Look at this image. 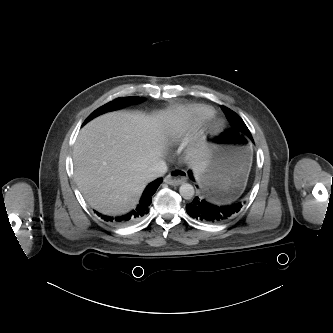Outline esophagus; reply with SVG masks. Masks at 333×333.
<instances>
[{
  "label": "esophagus",
  "mask_w": 333,
  "mask_h": 333,
  "mask_svg": "<svg viewBox=\"0 0 333 333\" xmlns=\"http://www.w3.org/2000/svg\"><path fill=\"white\" fill-rule=\"evenodd\" d=\"M186 172L183 170H173L164 179L169 185H179L186 181Z\"/></svg>",
  "instance_id": "obj_1"
}]
</instances>
